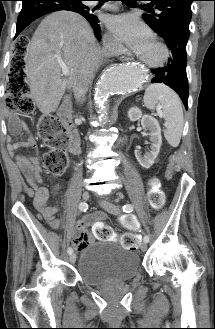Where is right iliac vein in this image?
Listing matches in <instances>:
<instances>
[{"instance_id": "obj_1", "label": "right iliac vein", "mask_w": 215, "mask_h": 329, "mask_svg": "<svg viewBox=\"0 0 215 329\" xmlns=\"http://www.w3.org/2000/svg\"><path fill=\"white\" fill-rule=\"evenodd\" d=\"M82 198H83V200H85V201L89 200V198H90V194H89V192H87V191L83 192V194H82ZM69 261H70L72 264L75 263V261H76V254H75V253L70 254Z\"/></svg>"}]
</instances>
